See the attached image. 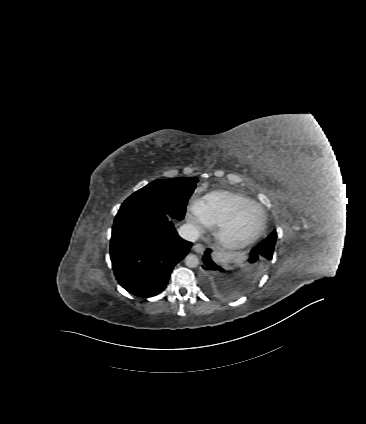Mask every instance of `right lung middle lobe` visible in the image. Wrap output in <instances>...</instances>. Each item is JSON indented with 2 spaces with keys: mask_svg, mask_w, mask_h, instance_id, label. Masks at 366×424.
<instances>
[{
  "mask_svg": "<svg viewBox=\"0 0 366 424\" xmlns=\"http://www.w3.org/2000/svg\"><path fill=\"white\" fill-rule=\"evenodd\" d=\"M198 179L172 178L153 181L129 196L116 216L134 212L160 211L182 220L187 201Z\"/></svg>",
  "mask_w": 366,
  "mask_h": 424,
  "instance_id": "obj_1",
  "label": "right lung middle lobe"
}]
</instances>
